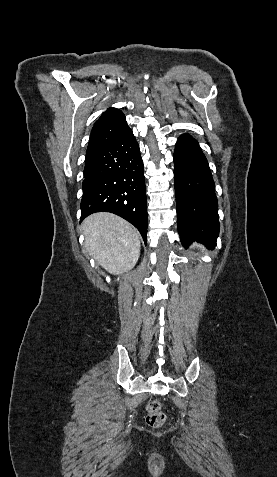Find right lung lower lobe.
Masks as SVG:
<instances>
[{
  "label": "right lung lower lobe",
  "mask_w": 277,
  "mask_h": 477,
  "mask_svg": "<svg viewBox=\"0 0 277 477\" xmlns=\"http://www.w3.org/2000/svg\"><path fill=\"white\" fill-rule=\"evenodd\" d=\"M81 221L111 212L133 224L145 242L148 227L143 161L130 128L117 139L86 153Z\"/></svg>",
  "instance_id": "right-lung-lower-lobe-1"
}]
</instances>
